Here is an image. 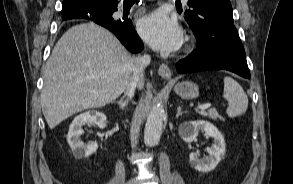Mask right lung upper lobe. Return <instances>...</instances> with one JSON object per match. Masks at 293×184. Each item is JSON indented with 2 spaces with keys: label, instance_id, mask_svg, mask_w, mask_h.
Listing matches in <instances>:
<instances>
[{
  "label": "right lung upper lobe",
  "instance_id": "obj_1",
  "mask_svg": "<svg viewBox=\"0 0 293 184\" xmlns=\"http://www.w3.org/2000/svg\"><path fill=\"white\" fill-rule=\"evenodd\" d=\"M81 1L83 0H63L62 17L68 19L93 8H114L118 4V0H92L94 6L87 8L81 5Z\"/></svg>",
  "mask_w": 293,
  "mask_h": 184
}]
</instances>
